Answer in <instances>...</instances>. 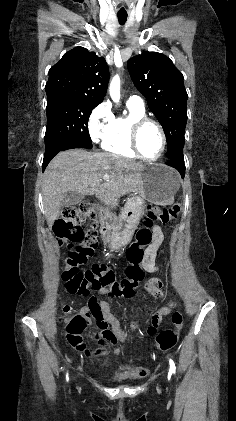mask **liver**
<instances>
[{"mask_svg": "<svg viewBox=\"0 0 236 421\" xmlns=\"http://www.w3.org/2000/svg\"><path fill=\"white\" fill-rule=\"evenodd\" d=\"M142 162L107 152H86L70 148L58 152L49 162L42 178V198L49 229L60 215L61 200L67 190L95 194L107 204L105 211L115 208L117 198L126 192L143 196ZM109 174L108 180H103Z\"/></svg>", "mask_w": 236, "mask_h": 421, "instance_id": "6515ba94", "label": "liver"}]
</instances>
